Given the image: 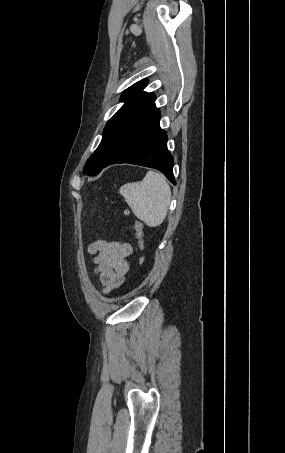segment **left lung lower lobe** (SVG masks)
<instances>
[{
	"label": "left lung lower lobe",
	"mask_w": 285,
	"mask_h": 453,
	"mask_svg": "<svg viewBox=\"0 0 285 453\" xmlns=\"http://www.w3.org/2000/svg\"><path fill=\"white\" fill-rule=\"evenodd\" d=\"M160 117L153 102L121 135L102 168L116 163L151 167L164 173L175 184L174 160L167 149V135L159 125Z\"/></svg>",
	"instance_id": "obj_1"
}]
</instances>
